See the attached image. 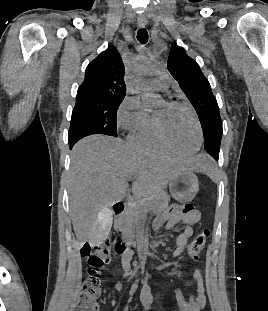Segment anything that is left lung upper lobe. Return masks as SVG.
<instances>
[{"instance_id":"left-lung-upper-lobe-1","label":"left lung upper lobe","mask_w":268,"mask_h":311,"mask_svg":"<svg viewBox=\"0 0 268 311\" xmlns=\"http://www.w3.org/2000/svg\"><path fill=\"white\" fill-rule=\"evenodd\" d=\"M167 68L198 114L205 138V150L210 155L212 152L219 153L222 120L209 81L199 65L176 43L171 46Z\"/></svg>"}]
</instances>
